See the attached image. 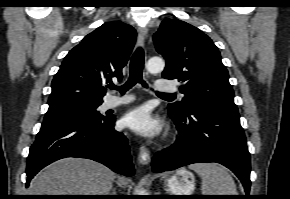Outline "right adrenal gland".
<instances>
[{"mask_svg": "<svg viewBox=\"0 0 290 199\" xmlns=\"http://www.w3.org/2000/svg\"><path fill=\"white\" fill-rule=\"evenodd\" d=\"M110 195H116V189L112 188V193H110Z\"/></svg>", "mask_w": 290, "mask_h": 199, "instance_id": "1", "label": "right adrenal gland"}]
</instances>
